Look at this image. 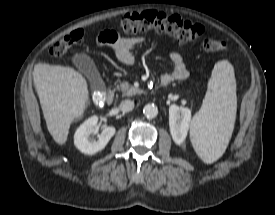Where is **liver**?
Masks as SVG:
<instances>
[{
  "label": "liver",
  "instance_id": "liver-1",
  "mask_svg": "<svg viewBox=\"0 0 275 215\" xmlns=\"http://www.w3.org/2000/svg\"><path fill=\"white\" fill-rule=\"evenodd\" d=\"M33 82L47 129L57 144L64 145L71 123L86 109L87 82L71 67L42 63L34 66Z\"/></svg>",
  "mask_w": 275,
  "mask_h": 215
}]
</instances>
